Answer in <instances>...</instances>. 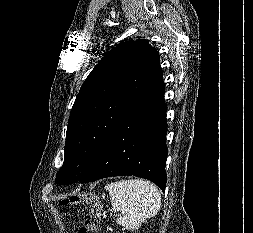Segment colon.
I'll return each instance as SVG.
<instances>
[{"label": "colon", "mask_w": 253, "mask_h": 233, "mask_svg": "<svg viewBox=\"0 0 253 233\" xmlns=\"http://www.w3.org/2000/svg\"><path fill=\"white\" fill-rule=\"evenodd\" d=\"M81 201L89 202L91 204V209L86 214L84 224L80 228L79 233H98L97 226L99 224V203L93 194H74L60 199L59 203L62 206L70 207Z\"/></svg>", "instance_id": "5ec220e1"}]
</instances>
